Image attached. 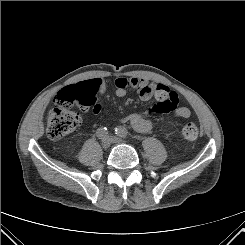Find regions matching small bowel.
<instances>
[{
  "mask_svg": "<svg viewBox=\"0 0 245 245\" xmlns=\"http://www.w3.org/2000/svg\"><path fill=\"white\" fill-rule=\"evenodd\" d=\"M98 84V95L104 91V83L101 79H92ZM115 94L123 97L128 90H134L139 97L144 100L155 98L157 103L153 105L146 113H132L126 116H118V120L123 123H129L132 128L138 132L146 133L152 128V122L147 118V114L171 113L174 118L187 119L191 116V111L187 107L178 106V96L176 92L169 87L145 78L138 77H119L115 80ZM94 114H99L102 107L95 102L90 107Z\"/></svg>",
  "mask_w": 245,
  "mask_h": 245,
  "instance_id": "1",
  "label": "small bowel"
}]
</instances>
